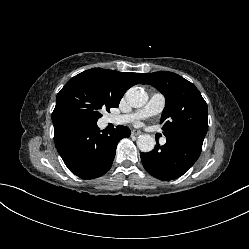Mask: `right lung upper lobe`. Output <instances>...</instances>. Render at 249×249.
<instances>
[{
    "label": "right lung upper lobe",
    "mask_w": 249,
    "mask_h": 249,
    "mask_svg": "<svg viewBox=\"0 0 249 249\" xmlns=\"http://www.w3.org/2000/svg\"><path fill=\"white\" fill-rule=\"evenodd\" d=\"M72 79L89 80L94 86L106 93L112 101L119 104L124 93L130 87L138 83L143 84L145 74L92 68L76 75Z\"/></svg>",
    "instance_id": "right-lung-upper-lobe-1"
}]
</instances>
